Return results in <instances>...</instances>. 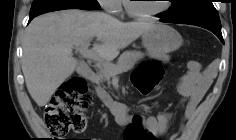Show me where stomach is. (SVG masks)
Instances as JSON below:
<instances>
[{"instance_id":"stomach-1","label":"stomach","mask_w":236,"mask_h":140,"mask_svg":"<svg viewBox=\"0 0 236 140\" xmlns=\"http://www.w3.org/2000/svg\"><path fill=\"white\" fill-rule=\"evenodd\" d=\"M142 42L152 56H163L179 49L183 39L172 27L155 24L142 34Z\"/></svg>"}]
</instances>
